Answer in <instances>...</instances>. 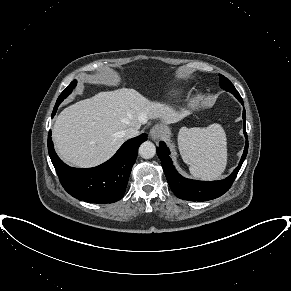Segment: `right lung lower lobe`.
<instances>
[{
    "mask_svg": "<svg viewBox=\"0 0 291 291\" xmlns=\"http://www.w3.org/2000/svg\"><path fill=\"white\" fill-rule=\"evenodd\" d=\"M146 139L144 133L126 141L110 160L94 168H72L63 163L54 150L51 132L48 135V153L67 193L85 202L107 204L124 196L138 148Z\"/></svg>",
    "mask_w": 291,
    "mask_h": 291,
    "instance_id": "1",
    "label": "right lung lower lobe"
}]
</instances>
